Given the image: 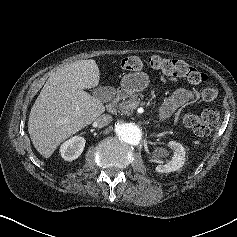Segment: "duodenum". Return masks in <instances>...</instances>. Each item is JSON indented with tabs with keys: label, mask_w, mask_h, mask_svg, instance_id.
Masks as SVG:
<instances>
[{
	"label": "duodenum",
	"mask_w": 237,
	"mask_h": 237,
	"mask_svg": "<svg viewBox=\"0 0 237 237\" xmlns=\"http://www.w3.org/2000/svg\"><path fill=\"white\" fill-rule=\"evenodd\" d=\"M121 96H122L121 92H118V93L115 95L112 104L114 105V104L121 98Z\"/></svg>",
	"instance_id": "duodenum-1"
}]
</instances>
